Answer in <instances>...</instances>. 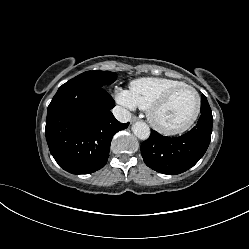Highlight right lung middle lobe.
<instances>
[{
    "label": "right lung middle lobe",
    "mask_w": 249,
    "mask_h": 249,
    "mask_svg": "<svg viewBox=\"0 0 249 249\" xmlns=\"http://www.w3.org/2000/svg\"><path fill=\"white\" fill-rule=\"evenodd\" d=\"M117 79V75L110 71H87L71 80H84L99 87L112 84Z\"/></svg>",
    "instance_id": "dd1d6c3e"
}]
</instances>
